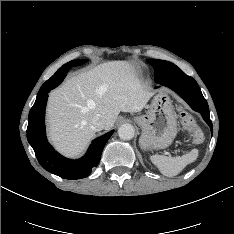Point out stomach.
Instances as JSON below:
<instances>
[{"instance_id": "obj_1", "label": "stomach", "mask_w": 234, "mask_h": 234, "mask_svg": "<svg viewBox=\"0 0 234 234\" xmlns=\"http://www.w3.org/2000/svg\"><path fill=\"white\" fill-rule=\"evenodd\" d=\"M142 134L140 147L157 150L169 147L177 135V116L167 92L159 91L153 98L146 115L135 118Z\"/></svg>"}]
</instances>
